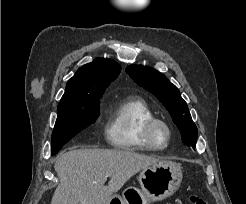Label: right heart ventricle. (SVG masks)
<instances>
[{"label":"right heart ventricle","mask_w":246,"mask_h":204,"mask_svg":"<svg viewBox=\"0 0 246 204\" xmlns=\"http://www.w3.org/2000/svg\"><path fill=\"white\" fill-rule=\"evenodd\" d=\"M155 117L148 102L137 96H130L116 102L108 112L105 138L116 149L141 151L149 149L142 140L144 124Z\"/></svg>","instance_id":"e07e8e85"}]
</instances>
